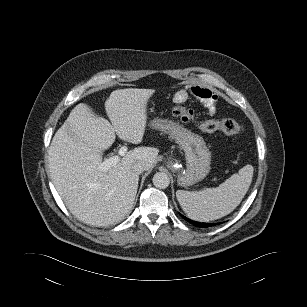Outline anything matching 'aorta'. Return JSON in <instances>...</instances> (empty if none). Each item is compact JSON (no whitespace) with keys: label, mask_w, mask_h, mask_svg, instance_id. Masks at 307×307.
Instances as JSON below:
<instances>
[{"label":"aorta","mask_w":307,"mask_h":307,"mask_svg":"<svg viewBox=\"0 0 307 307\" xmlns=\"http://www.w3.org/2000/svg\"><path fill=\"white\" fill-rule=\"evenodd\" d=\"M153 184L156 188L159 189H165L169 186L170 184V178L169 176L164 173V172H157L154 176H153Z\"/></svg>","instance_id":"obj_1"}]
</instances>
